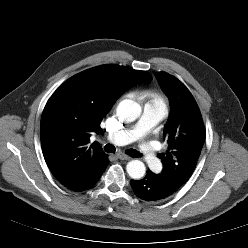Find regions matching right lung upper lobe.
<instances>
[{
	"label": "right lung upper lobe",
	"mask_w": 248,
	"mask_h": 248,
	"mask_svg": "<svg viewBox=\"0 0 248 248\" xmlns=\"http://www.w3.org/2000/svg\"><path fill=\"white\" fill-rule=\"evenodd\" d=\"M150 79L145 71L102 65L74 75L53 93L42 113L40 138L45 161L62 185L106 155L96 142L88 145L91 133L102 132L103 117L126 90Z\"/></svg>",
	"instance_id": "1"
}]
</instances>
